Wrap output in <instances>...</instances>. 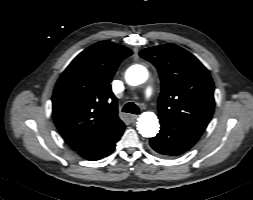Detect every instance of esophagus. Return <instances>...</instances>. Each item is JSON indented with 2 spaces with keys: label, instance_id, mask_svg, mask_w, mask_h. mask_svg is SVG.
Returning a JSON list of instances; mask_svg holds the SVG:
<instances>
[{
  "label": "esophagus",
  "instance_id": "34e87169",
  "mask_svg": "<svg viewBox=\"0 0 253 200\" xmlns=\"http://www.w3.org/2000/svg\"><path fill=\"white\" fill-rule=\"evenodd\" d=\"M137 118H138V115H135V114H131V115H130V119H131L132 121H135Z\"/></svg>",
  "mask_w": 253,
  "mask_h": 200
}]
</instances>
